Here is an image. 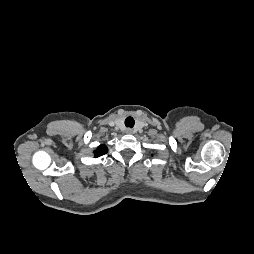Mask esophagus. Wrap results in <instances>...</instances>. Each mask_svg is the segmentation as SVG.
<instances>
[{"label": "esophagus", "mask_w": 254, "mask_h": 254, "mask_svg": "<svg viewBox=\"0 0 254 254\" xmlns=\"http://www.w3.org/2000/svg\"><path fill=\"white\" fill-rule=\"evenodd\" d=\"M125 132H126L127 134H132V133H133V130L130 129V128H127V129L125 130Z\"/></svg>", "instance_id": "34e87169"}]
</instances>
